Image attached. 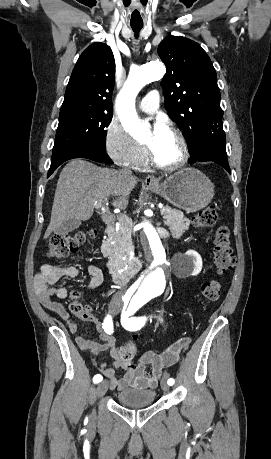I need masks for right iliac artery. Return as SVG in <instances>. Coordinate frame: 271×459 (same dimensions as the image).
<instances>
[{"label": "right iliac artery", "instance_id": "obj_1", "mask_svg": "<svg viewBox=\"0 0 271 459\" xmlns=\"http://www.w3.org/2000/svg\"><path fill=\"white\" fill-rule=\"evenodd\" d=\"M102 327L104 329V331L107 333V334H112L113 333V321H112V317L110 315H107V317L104 319V322L102 323ZM103 379V377L100 375V374H97L93 377V382L94 383H99L101 382Z\"/></svg>", "mask_w": 271, "mask_h": 459}]
</instances>
